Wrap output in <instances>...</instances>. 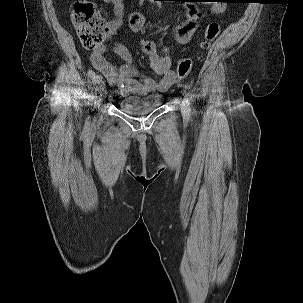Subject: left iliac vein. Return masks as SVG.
I'll return each instance as SVG.
<instances>
[{
    "mask_svg": "<svg viewBox=\"0 0 303 303\" xmlns=\"http://www.w3.org/2000/svg\"><path fill=\"white\" fill-rule=\"evenodd\" d=\"M181 109H182L183 116L187 118L190 114V106H189L188 101H184L182 103Z\"/></svg>",
    "mask_w": 303,
    "mask_h": 303,
    "instance_id": "4c4485c4",
    "label": "left iliac vein"
}]
</instances>
